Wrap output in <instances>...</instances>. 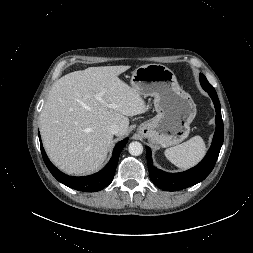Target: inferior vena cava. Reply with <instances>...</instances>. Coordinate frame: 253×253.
<instances>
[{"label":"inferior vena cava","instance_id":"inferior-vena-cava-1","mask_svg":"<svg viewBox=\"0 0 253 253\" xmlns=\"http://www.w3.org/2000/svg\"><path fill=\"white\" fill-rule=\"evenodd\" d=\"M107 129L108 132L111 133L112 135H117L120 130L119 126L116 124L110 125Z\"/></svg>","mask_w":253,"mask_h":253}]
</instances>
